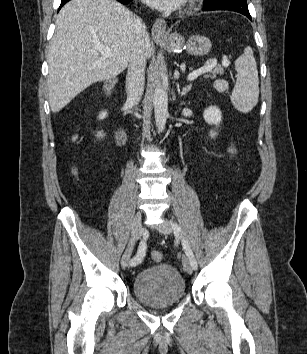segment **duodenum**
Returning <instances> with one entry per match:
<instances>
[{
	"mask_svg": "<svg viewBox=\"0 0 307 354\" xmlns=\"http://www.w3.org/2000/svg\"><path fill=\"white\" fill-rule=\"evenodd\" d=\"M116 83L117 81L115 79H110L107 80L104 84V89H103L104 96L109 101L112 99ZM114 133H115V138L119 143L124 144L127 141V133L122 126L116 124Z\"/></svg>",
	"mask_w": 307,
	"mask_h": 354,
	"instance_id": "1",
	"label": "duodenum"
}]
</instances>
